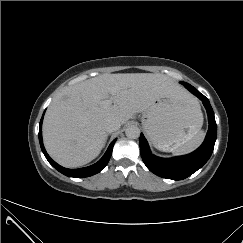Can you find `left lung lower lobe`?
I'll list each match as a JSON object with an SVG mask.
<instances>
[{"label":"left lung lower lobe","instance_id":"0a47b994","mask_svg":"<svg viewBox=\"0 0 243 243\" xmlns=\"http://www.w3.org/2000/svg\"><path fill=\"white\" fill-rule=\"evenodd\" d=\"M182 84L203 102L207 110L209 129L203 144L191 154L164 159L152 155L145 137L142 133L140 135L141 157L147 168L160 177L173 180L185 179L200 169L210 158L217 136V125L209 100L192 85L186 82Z\"/></svg>","mask_w":243,"mask_h":243}]
</instances>
